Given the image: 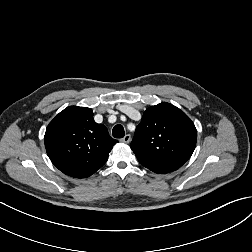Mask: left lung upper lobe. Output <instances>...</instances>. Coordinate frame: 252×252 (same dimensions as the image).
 Listing matches in <instances>:
<instances>
[{"label":"left lung upper lobe","instance_id":"1","mask_svg":"<svg viewBox=\"0 0 252 252\" xmlns=\"http://www.w3.org/2000/svg\"><path fill=\"white\" fill-rule=\"evenodd\" d=\"M196 141L197 131L190 118L174 105L163 102L144 112L130 147L139 162H186Z\"/></svg>","mask_w":252,"mask_h":252}]
</instances>
